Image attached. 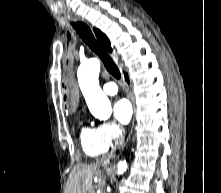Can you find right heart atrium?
<instances>
[{"instance_id":"obj_1","label":"right heart atrium","mask_w":221,"mask_h":193,"mask_svg":"<svg viewBox=\"0 0 221 193\" xmlns=\"http://www.w3.org/2000/svg\"><path fill=\"white\" fill-rule=\"evenodd\" d=\"M101 138L108 144L118 141L122 135L120 126L114 121L103 122L97 127Z\"/></svg>"}]
</instances>
